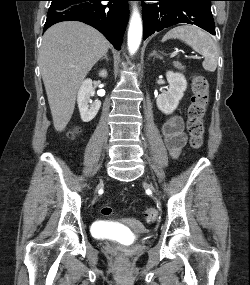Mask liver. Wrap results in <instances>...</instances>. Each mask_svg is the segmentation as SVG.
<instances>
[{
	"instance_id": "6515ba94",
	"label": "liver",
	"mask_w": 250,
	"mask_h": 285,
	"mask_svg": "<svg viewBox=\"0 0 250 285\" xmlns=\"http://www.w3.org/2000/svg\"><path fill=\"white\" fill-rule=\"evenodd\" d=\"M109 47L101 33L80 22L58 23L45 32L39 65L56 131L69 123L82 81Z\"/></svg>"
}]
</instances>
